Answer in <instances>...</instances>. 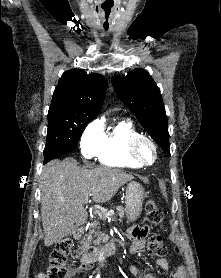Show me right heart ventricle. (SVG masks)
Here are the masks:
<instances>
[{
  "label": "right heart ventricle",
  "mask_w": 221,
  "mask_h": 278,
  "mask_svg": "<svg viewBox=\"0 0 221 278\" xmlns=\"http://www.w3.org/2000/svg\"><path fill=\"white\" fill-rule=\"evenodd\" d=\"M139 133L132 122L122 119L103 134L100 148L96 154L98 161L106 166L138 168L141 165L127 154L129 141Z\"/></svg>",
  "instance_id": "e07e8e85"
}]
</instances>
